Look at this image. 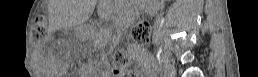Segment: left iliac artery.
I'll return each mask as SVG.
<instances>
[{"label": "left iliac artery", "instance_id": "44dca946", "mask_svg": "<svg viewBox=\"0 0 258 77\" xmlns=\"http://www.w3.org/2000/svg\"><path fill=\"white\" fill-rule=\"evenodd\" d=\"M160 53H161V50L158 51V54H159V55H160Z\"/></svg>", "mask_w": 258, "mask_h": 77}]
</instances>
